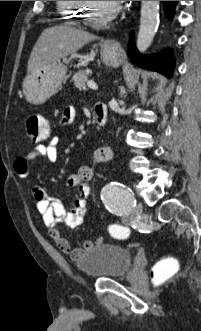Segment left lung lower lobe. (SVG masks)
Listing matches in <instances>:
<instances>
[{"mask_svg":"<svg viewBox=\"0 0 201 331\" xmlns=\"http://www.w3.org/2000/svg\"><path fill=\"white\" fill-rule=\"evenodd\" d=\"M177 2L178 1H164L165 11L169 17H172ZM130 42L131 46L129 54L135 64L150 70L158 71L169 78L172 76L174 68V59L170 52L158 56L143 57L141 54L138 53L137 49L134 46L133 34H131Z\"/></svg>","mask_w":201,"mask_h":331,"instance_id":"0a47b994","label":"left lung lower lobe"}]
</instances>
